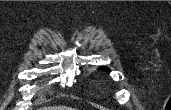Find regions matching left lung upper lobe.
I'll return each instance as SVG.
<instances>
[{"label": "left lung upper lobe", "instance_id": "1", "mask_svg": "<svg viewBox=\"0 0 171 110\" xmlns=\"http://www.w3.org/2000/svg\"><path fill=\"white\" fill-rule=\"evenodd\" d=\"M99 69H101V70H105V71H110V69H109V68H107V67H101V68H99Z\"/></svg>", "mask_w": 171, "mask_h": 110}]
</instances>
